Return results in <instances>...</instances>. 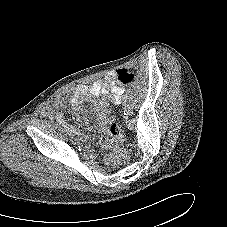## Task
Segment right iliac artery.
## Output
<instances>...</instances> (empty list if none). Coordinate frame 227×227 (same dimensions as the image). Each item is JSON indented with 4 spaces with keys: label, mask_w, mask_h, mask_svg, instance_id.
Listing matches in <instances>:
<instances>
[{
    "label": "right iliac artery",
    "mask_w": 227,
    "mask_h": 227,
    "mask_svg": "<svg viewBox=\"0 0 227 227\" xmlns=\"http://www.w3.org/2000/svg\"><path fill=\"white\" fill-rule=\"evenodd\" d=\"M56 120H57V122H59L60 124H62V126H64V127L67 125L66 122L62 119L61 116H57L56 117Z\"/></svg>",
    "instance_id": "82829eb1"
}]
</instances>
